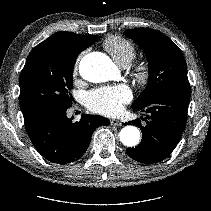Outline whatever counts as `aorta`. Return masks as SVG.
Masks as SVG:
<instances>
[{
	"label": "aorta",
	"instance_id": "762f6f07",
	"mask_svg": "<svg viewBox=\"0 0 211 211\" xmlns=\"http://www.w3.org/2000/svg\"><path fill=\"white\" fill-rule=\"evenodd\" d=\"M81 76L94 83L109 80L114 73V65L104 54H89L79 64ZM120 141L128 147L136 146L140 141V131L135 126H126L120 131Z\"/></svg>",
	"mask_w": 211,
	"mask_h": 211
}]
</instances>
